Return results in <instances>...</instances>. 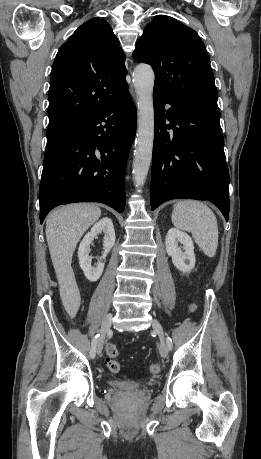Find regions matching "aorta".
I'll return each instance as SVG.
<instances>
[{
	"instance_id": "1",
	"label": "aorta",
	"mask_w": 261,
	"mask_h": 459,
	"mask_svg": "<svg viewBox=\"0 0 261 459\" xmlns=\"http://www.w3.org/2000/svg\"><path fill=\"white\" fill-rule=\"evenodd\" d=\"M155 74L151 66L139 64L133 72L137 94L138 128L133 159V179L136 188L143 187L149 172L154 141L153 88Z\"/></svg>"
}]
</instances>
